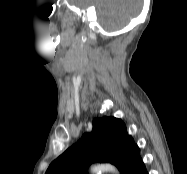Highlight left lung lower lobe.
Returning a JSON list of instances; mask_svg holds the SVG:
<instances>
[{
	"instance_id": "obj_1",
	"label": "left lung lower lobe",
	"mask_w": 187,
	"mask_h": 174,
	"mask_svg": "<svg viewBox=\"0 0 187 174\" xmlns=\"http://www.w3.org/2000/svg\"><path fill=\"white\" fill-rule=\"evenodd\" d=\"M130 174H147L146 168L143 164V162L137 164L133 170L130 172Z\"/></svg>"
}]
</instances>
